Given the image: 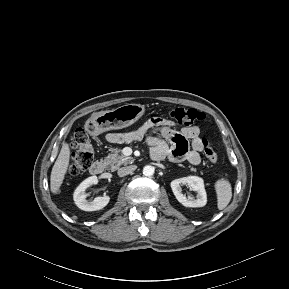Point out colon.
<instances>
[{
  "label": "colon",
  "mask_w": 289,
  "mask_h": 289,
  "mask_svg": "<svg viewBox=\"0 0 289 289\" xmlns=\"http://www.w3.org/2000/svg\"><path fill=\"white\" fill-rule=\"evenodd\" d=\"M167 116L179 125H192L205 120V114L193 108H175L167 111ZM95 124L89 125L88 129L77 128L72 137L71 146L73 153L71 155L69 172L77 176L88 169L94 157L93 147L90 143L88 131L94 130ZM204 141V153L211 163L218 161V155L209 140Z\"/></svg>",
  "instance_id": "colon-1"
}]
</instances>
